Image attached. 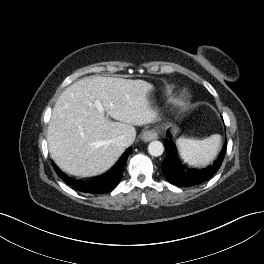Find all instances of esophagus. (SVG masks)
I'll list each match as a JSON object with an SVG mask.
<instances>
[{
    "label": "esophagus",
    "instance_id": "esophagus-1",
    "mask_svg": "<svg viewBox=\"0 0 264 264\" xmlns=\"http://www.w3.org/2000/svg\"><path fill=\"white\" fill-rule=\"evenodd\" d=\"M157 138H158V133L154 129L144 131L142 133V136H141V139L144 142H149V141L157 139Z\"/></svg>",
    "mask_w": 264,
    "mask_h": 264
}]
</instances>
